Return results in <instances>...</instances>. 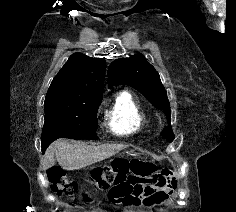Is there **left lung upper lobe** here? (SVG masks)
<instances>
[{"label":"left lung upper lobe","mask_w":236,"mask_h":212,"mask_svg":"<svg viewBox=\"0 0 236 212\" xmlns=\"http://www.w3.org/2000/svg\"><path fill=\"white\" fill-rule=\"evenodd\" d=\"M108 85H128L143 94L156 108L162 109L170 123L171 111L167 92L155 68L142 55L120 58L108 68ZM170 142L174 139L171 127L162 131Z\"/></svg>","instance_id":"1"}]
</instances>
